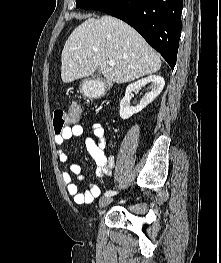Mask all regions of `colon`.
Returning a JSON list of instances; mask_svg holds the SVG:
<instances>
[{
  "mask_svg": "<svg viewBox=\"0 0 221 263\" xmlns=\"http://www.w3.org/2000/svg\"><path fill=\"white\" fill-rule=\"evenodd\" d=\"M82 114V107L74 103L67 110H55L53 114L54 133L60 135L71 123L77 121Z\"/></svg>",
  "mask_w": 221,
  "mask_h": 263,
  "instance_id": "colon-1",
  "label": "colon"
}]
</instances>
